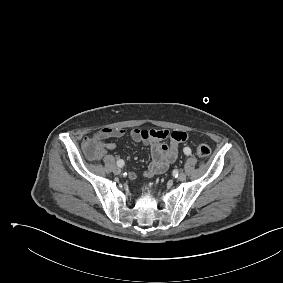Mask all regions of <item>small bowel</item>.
Segmentation results:
<instances>
[{
    "label": "small bowel",
    "mask_w": 283,
    "mask_h": 283,
    "mask_svg": "<svg viewBox=\"0 0 283 283\" xmlns=\"http://www.w3.org/2000/svg\"><path fill=\"white\" fill-rule=\"evenodd\" d=\"M124 138L127 137L134 142H141L151 148L152 161L142 175L146 178L164 172L171 163L175 161L179 151V145L186 141L188 135L183 131H168L157 129H133L130 131L124 129L104 128L95 133L94 138L102 141L106 138ZM169 140V143L165 141ZM116 144L108 142L102 145V154L106 150H114ZM137 177L135 172L129 173V178Z\"/></svg>",
    "instance_id": "small-bowel-1"
}]
</instances>
